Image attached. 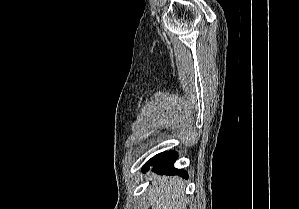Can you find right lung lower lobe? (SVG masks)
<instances>
[{"instance_id":"1","label":"right lung lower lobe","mask_w":299,"mask_h":209,"mask_svg":"<svg viewBox=\"0 0 299 209\" xmlns=\"http://www.w3.org/2000/svg\"><path fill=\"white\" fill-rule=\"evenodd\" d=\"M177 156L178 155L175 151L157 154L145 163V165L142 167V171L145 172L150 166H153L154 172L167 175H180L183 178H187L188 174L185 170L176 169L173 166Z\"/></svg>"}]
</instances>
